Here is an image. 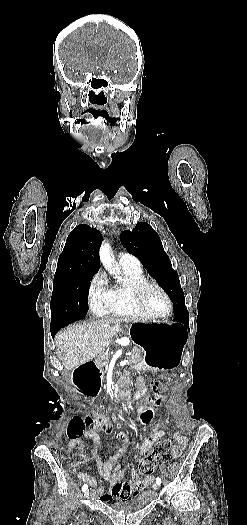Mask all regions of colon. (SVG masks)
<instances>
[{
  "mask_svg": "<svg viewBox=\"0 0 247 525\" xmlns=\"http://www.w3.org/2000/svg\"><path fill=\"white\" fill-rule=\"evenodd\" d=\"M144 386L146 389H159L162 386V383L159 380L148 379L145 381ZM165 387H162V390L155 392L153 394L154 402L151 403L146 401L143 403L142 408L146 413H142L140 418H104V417H93L87 418L85 421L82 418H75L73 420L72 428L70 429V436L72 438H81L83 436V429L81 428L83 424L87 427L95 428V431L111 432L124 430V426L128 427V430H133L134 428L146 429L148 425L153 423V420L156 418L154 411L160 409V405L163 403L165 392ZM171 448L170 440L160 441L155 450L148 453L143 459L138 463V474L141 477L149 476L152 474L156 464L162 460L167 452ZM134 481V480H133Z\"/></svg>",
  "mask_w": 247,
  "mask_h": 525,
  "instance_id": "5ec220e1",
  "label": "colon"
}]
</instances>
